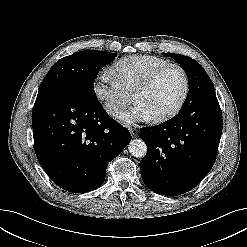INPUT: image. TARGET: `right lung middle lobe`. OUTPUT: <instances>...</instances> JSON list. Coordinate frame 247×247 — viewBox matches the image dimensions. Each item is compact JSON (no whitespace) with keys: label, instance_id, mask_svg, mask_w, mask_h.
I'll list each match as a JSON object with an SVG mask.
<instances>
[{"label":"right lung middle lobe","instance_id":"obj_1","mask_svg":"<svg viewBox=\"0 0 247 247\" xmlns=\"http://www.w3.org/2000/svg\"><path fill=\"white\" fill-rule=\"evenodd\" d=\"M116 57L115 53L86 50L66 56L49 70L40 88L55 83H75L86 93L96 97L94 81L98 72Z\"/></svg>","mask_w":247,"mask_h":247}]
</instances>
